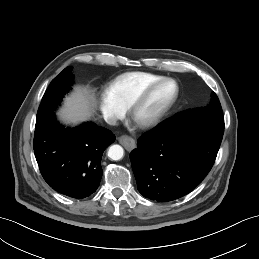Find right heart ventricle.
Here are the masks:
<instances>
[{
	"mask_svg": "<svg viewBox=\"0 0 259 259\" xmlns=\"http://www.w3.org/2000/svg\"><path fill=\"white\" fill-rule=\"evenodd\" d=\"M164 76L148 72H128L114 78L105 89L106 94L124 110L148 85Z\"/></svg>",
	"mask_w": 259,
	"mask_h": 259,
	"instance_id": "right-heart-ventricle-1",
	"label": "right heart ventricle"
}]
</instances>
